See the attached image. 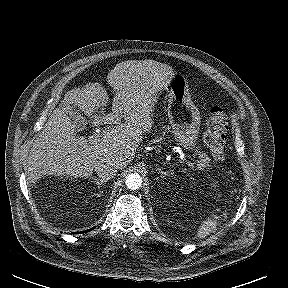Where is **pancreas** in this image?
I'll return each instance as SVG.
<instances>
[{"instance_id": "obj_1", "label": "pancreas", "mask_w": 288, "mask_h": 288, "mask_svg": "<svg viewBox=\"0 0 288 288\" xmlns=\"http://www.w3.org/2000/svg\"><path fill=\"white\" fill-rule=\"evenodd\" d=\"M198 159L199 160H197V163L200 169H204L210 166V158L206 153L198 152Z\"/></svg>"}]
</instances>
